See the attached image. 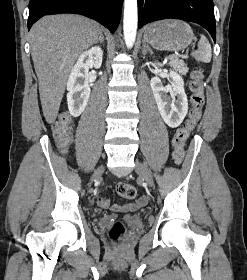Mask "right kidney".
Listing matches in <instances>:
<instances>
[{
	"mask_svg": "<svg viewBox=\"0 0 247 280\" xmlns=\"http://www.w3.org/2000/svg\"><path fill=\"white\" fill-rule=\"evenodd\" d=\"M103 51L92 47L82 53L72 68L67 81V102L70 114L78 117L84 111L90 97L89 68H99L102 64Z\"/></svg>",
	"mask_w": 247,
	"mask_h": 280,
	"instance_id": "1",
	"label": "right kidney"
}]
</instances>
